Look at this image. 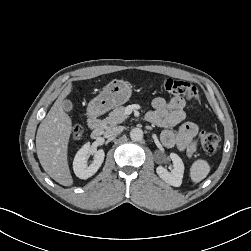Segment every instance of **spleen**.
<instances>
[{
  "instance_id": "obj_1",
  "label": "spleen",
  "mask_w": 251,
  "mask_h": 251,
  "mask_svg": "<svg viewBox=\"0 0 251 251\" xmlns=\"http://www.w3.org/2000/svg\"><path fill=\"white\" fill-rule=\"evenodd\" d=\"M210 172L209 164L204 160L195 161L190 168V177L193 182L202 181Z\"/></svg>"
}]
</instances>
